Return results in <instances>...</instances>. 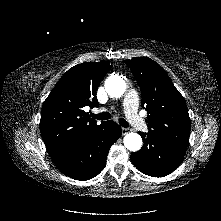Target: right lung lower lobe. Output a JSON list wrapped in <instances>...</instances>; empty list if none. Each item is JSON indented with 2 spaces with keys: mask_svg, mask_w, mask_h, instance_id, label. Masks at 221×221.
Returning <instances> with one entry per match:
<instances>
[{
  "mask_svg": "<svg viewBox=\"0 0 221 221\" xmlns=\"http://www.w3.org/2000/svg\"><path fill=\"white\" fill-rule=\"evenodd\" d=\"M114 121H104L70 152L53 159L56 167L76 180H88L99 174L106 164L110 147L121 136Z\"/></svg>",
  "mask_w": 221,
  "mask_h": 221,
  "instance_id": "obj_1",
  "label": "right lung lower lobe"
}]
</instances>
